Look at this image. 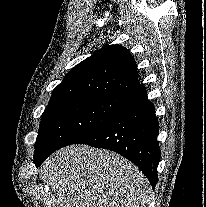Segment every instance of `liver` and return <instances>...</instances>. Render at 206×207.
<instances>
[{"label":"liver","mask_w":206,"mask_h":207,"mask_svg":"<svg viewBox=\"0 0 206 207\" xmlns=\"http://www.w3.org/2000/svg\"><path fill=\"white\" fill-rule=\"evenodd\" d=\"M40 178L56 195V207H147L150 183L119 154L70 145L41 165Z\"/></svg>","instance_id":"1"}]
</instances>
